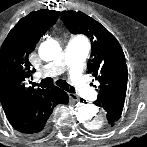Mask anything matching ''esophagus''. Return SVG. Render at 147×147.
<instances>
[{
    "instance_id": "34e87169",
    "label": "esophagus",
    "mask_w": 147,
    "mask_h": 147,
    "mask_svg": "<svg viewBox=\"0 0 147 147\" xmlns=\"http://www.w3.org/2000/svg\"><path fill=\"white\" fill-rule=\"evenodd\" d=\"M68 96L72 102H78V100H79V97L74 93H69Z\"/></svg>"
}]
</instances>
